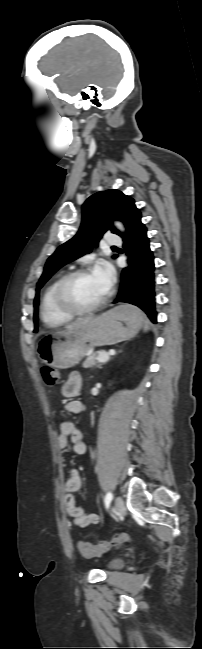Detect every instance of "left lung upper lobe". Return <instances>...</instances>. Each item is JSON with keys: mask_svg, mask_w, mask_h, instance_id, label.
Segmentation results:
<instances>
[{"mask_svg": "<svg viewBox=\"0 0 202 649\" xmlns=\"http://www.w3.org/2000/svg\"><path fill=\"white\" fill-rule=\"evenodd\" d=\"M82 223L77 234L58 247L45 264L44 272L37 283V294L34 299V332L38 330V305L39 290L45 282L62 266L90 253L103 234L111 230L112 233L123 235L112 224L113 220H120L126 228L132 220L141 216L140 210L135 206V201L130 196L119 190H106L90 196L82 206ZM114 258L116 255L113 256Z\"/></svg>", "mask_w": 202, "mask_h": 649, "instance_id": "5c2ea615", "label": "left lung upper lobe"}]
</instances>
